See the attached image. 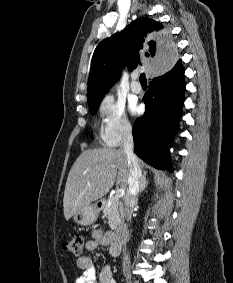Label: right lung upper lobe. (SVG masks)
<instances>
[{
  "instance_id": "cb5924a9",
  "label": "right lung upper lobe",
  "mask_w": 233,
  "mask_h": 283,
  "mask_svg": "<svg viewBox=\"0 0 233 283\" xmlns=\"http://www.w3.org/2000/svg\"><path fill=\"white\" fill-rule=\"evenodd\" d=\"M177 54H186V49H177L161 23L150 18H137L96 47L88 81L89 106L100 104L124 66L129 71L138 64L148 65V70H171Z\"/></svg>"
}]
</instances>
